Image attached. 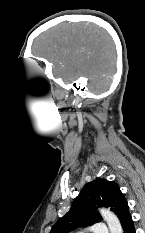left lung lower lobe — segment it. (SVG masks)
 <instances>
[{"label": "left lung lower lobe", "mask_w": 145, "mask_h": 233, "mask_svg": "<svg viewBox=\"0 0 145 233\" xmlns=\"http://www.w3.org/2000/svg\"><path fill=\"white\" fill-rule=\"evenodd\" d=\"M124 233H135L134 223L133 220H131L123 229Z\"/></svg>", "instance_id": "obj_1"}]
</instances>
